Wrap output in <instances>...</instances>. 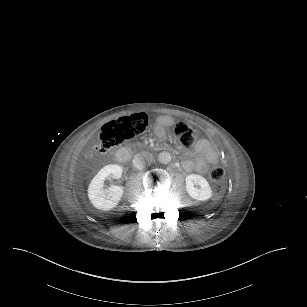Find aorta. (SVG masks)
<instances>
[{"label": "aorta", "mask_w": 307, "mask_h": 307, "mask_svg": "<svg viewBox=\"0 0 307 307\" xmlns=\"http://www.w3.org/2000/svg\"><path fill=\"white\" fill-rule=\"evenodd\" d=\"M172 159V156L169 152L163 151L159 153L158 160L160 163L168 164Z\"/></svg>", "instance_id": "obj_1"}]
</instances>
